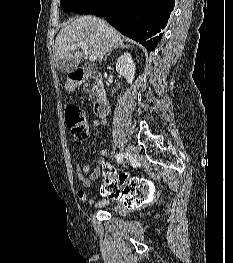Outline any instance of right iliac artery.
Returning a JSON list of instances; mask_svg holds the SVG:
<instances>
[{
  "label": "right iliac artery",
  "mask_w": 233,
  "mask_h": 263,
  "mask_svg": "<svg viewBox=\"0 0 233 263\" xmlns=\"http://www.w3.org/2000/svg\"><path fill=\"white\" fill-rule=\"evenodd\" d=\"M126 155H127V154H125V153H118V154L116 155L117 161H118L119 163H122V162H123V159L125 158Z\"/></svg>",
  "instance_id": "obj_1"
}]
</instances>
